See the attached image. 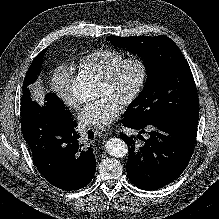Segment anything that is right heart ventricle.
I'll return each mask as SVG.
<instances>
[{
  "instance_id": "right-heart-ventricle-1",
  "label": "right heart ventricle",
  "mask_w": 219,
  "mask_h": 219,
  "mask_svg": "<svg viewBox=\"0 0 219 219\" xmlns=\"http://www.w3.org/2000/svg\"><path fill=\"white\" fill-rule=\"evenodd\" d=\"M123 58L124 54L120 51L99 48L79 55L74 59V64L85 71L102 76Z\"/></svg>"
}]
</instances>
